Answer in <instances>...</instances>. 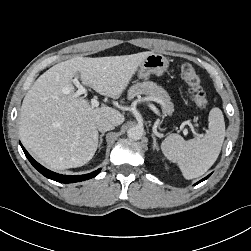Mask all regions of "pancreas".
I'll return each instance as SVG.
<instances>
[{
    "mask_svg": "<svg viewBox=\"0 0 251 251\" xmlns=\"http://www.w3.org/2000/svg\"><path fill=\"white\" fill-rule=\"evenodd\" d=\"M146 95L149 99H156L162 102V111L165 115L171 116L174 111L173 103L170 101V96L167 92L156 83L151 81H144L132 85L128 90V99Z\"/></svg>",
    "mask_w": 251,
    "mask_h": 251,
    "instance_id": "pancreas-1",
    "label": "pancreas"
}]
</instances>
